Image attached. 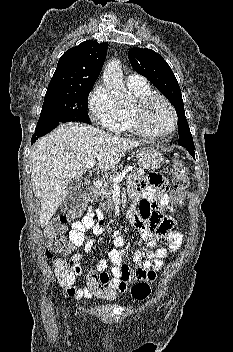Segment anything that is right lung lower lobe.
Returning a JSON list of instances; mask_svg holds the SVG:
<instances>
[{
  "mask_svg": "<svg viewBox=\"0 0 233 352\" xmlns=\"http://www.w3.org/2000/svg\"><path fill=\"white\" fill-rule=\"evenodd\" d=\"M70 121L85 122V123L91 124L90 121L83 120V119H74V120H70ZM70 121H65V122H70ZM65 122H60V123H65ZM58 125H59V123L53 124V125L48 126L46 128L35 130V133H34V135L32 136V139H31V144H33L39 137H42L45 134H47L50 131H52L53 129H55Z\"/></svg>",
  "mask_w": 233,
  "mask_h": 352,
  "instance_id": "98d812e1",
  "label": "right lung lower lobe"
}]
</instances>
